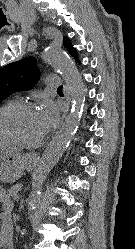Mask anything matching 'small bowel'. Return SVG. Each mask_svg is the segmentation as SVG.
<instances>
[{
	"label": "small bowel",
	"mask_w": 135,
	"mask_h": 249,
	"mask_svg": "<svg viewBox=\"0 0 135 249\" xmlns=\"http://www.w3.org/2000/svg\"><path fill=\"white\" fill-rule=\"evenodd\" d=\"M4 214L7 216V214H8V208H6Z\"/></svg>",
	"instance_id": "obj_1"
}]
</instances>
